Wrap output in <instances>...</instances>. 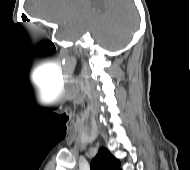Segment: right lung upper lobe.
<instances>
[{"label": "right lung upper lobe", "mask_w": 190, "mask_h": 170, "mask_svg": "<svg viewBox=\"0 0 190 170\" xmlns=\"http://www.w3.org/2000/svg\"><path fill=\"white\" fill-rule=\"evenodd\" d=\"M91 170H120V162L106 148H101L91 161Z\"/></svg>", "instance_id": "cb5924a9"}]
</instances>
